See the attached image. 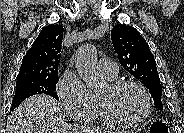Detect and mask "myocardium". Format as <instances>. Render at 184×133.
<instances>
[{"label":"myocardium","mask_w":184,"mask_h":133,"mask_svg":"<svg viewBox=\"0 0 184 133\" xmlns=\"http://www.w3.org/2000/svg\"><path fill=\"white\" fill-rule=\"evenodd\" d=\"M125 87H134L138 89L139 92L142 94L145 102V108L140 117L136 119H125V118L119 117L111 109L108 102L103 97H100V96L98 97L99 105L107 121L113 124H118L123 126H136L143 123L149 116L151 112V98L149 96V93L145 89V87L139 82H136L133 80H116V81H111L110 83L107 84V88L111 93H115Z\"/></svg>","instance_id":"obj_1"}]
</instances>
